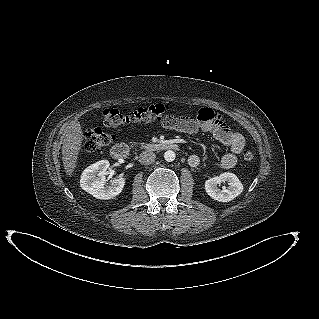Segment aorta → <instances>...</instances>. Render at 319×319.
<instances>
[{
	"instance_id": "aorta-1",
	"label": "aorta",
	"mask_w": 319,
	"mask_h": 319,
	"mask_svg": "<svg viewBox=\"0 0 319 319\" xmlns=\"http://www.w3.org/2000/svg\"><path fill=\"white\" fill-rule=\"evenodd\" d=\"M176 158V154L174 151L172 150H168L164 153V159L167 161V162H172L174 161Z\"/></svg>"
}]
</instances>
